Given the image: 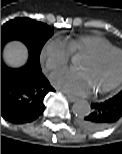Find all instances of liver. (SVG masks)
I'll return each instance as SVG.
<instances>
[{"label": "liver", "mask_w": 122, "mask_h": 154, "mask_svg": "<svg viewBox=\"0 0 122 154\" xmlns=\"http://www.w3.org/2000/svg\"><path fill=\"white\" fill-rule=\"evenodd\" d=\"M28 59V50L19 41H12L6 44L3 50V60L10 67H21Z\"/></svg>", "instance_id": "1"}]
</instances>
